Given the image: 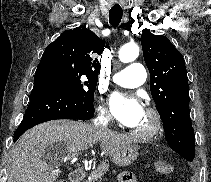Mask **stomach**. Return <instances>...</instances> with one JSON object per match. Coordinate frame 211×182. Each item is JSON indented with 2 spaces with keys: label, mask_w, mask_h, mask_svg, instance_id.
Segmentation results:
<instances>
[{
  "label": "stomach",
  "mask_w": 211,
  "mask_h": 182,
  "mask_svg": "<svg viewBox=\"0 0 211 182\" xmlns=\"http://www.w3.org/2000/svg\"><path fill=\"white\" fill-rule=\"evenodd\" d=\"M139 155V147L135 144L122 146L113 156L112 161L117 166L126 167L131 165Z\"/></svg>",
  "instance_id": "obj_1"
}]
</instances>
